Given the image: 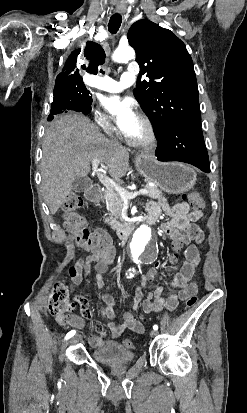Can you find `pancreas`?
I'll list each match as a JSON object with an SVG mask.
<instances>
[{
  "instance_id": "pancreas-1",
  "label": "pancreas",
  "mask_w": 247,
  "mask_h": 413,
  "mask_svg": "<svg viewBox=\"0 0 247 413\" xmlns=\"http://www.w3.org/2000/svg\"><path fill=\"white\" fill-rule=\"evenodd\" d=\"M144 188H147L149 190L148 196H151V198H160V196H163L162 190L160 188H157V186H150V184H145ZM104 202L107 204V211H110L111 215L110 217H107L105 219L104 223H107V225H111V229L113 231H118V229H122L123 225L117 221L119 219V215L123 209V198L118 194L117 190H104Z\"/></svg>"
}]
</instances>
